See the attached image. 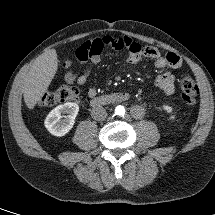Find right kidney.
<instances>
[{
	"mask_svg": "<svg viewBox=\"0 0 215 215\" xmlns=\"http://www.w3.org/2000/svg\"><path fill=\"white\" fill-rule=\"evenodd\" d=\"M78 112L79 106L76 103L59 105L47 115L44 125L52 135L62 137L73 128Z\"/></svg>",
	"mask_w": 215,
	"mask_h": 215,
	"instance_id": "obj_1",
	"label": "right kidney"
}]
</instances>
